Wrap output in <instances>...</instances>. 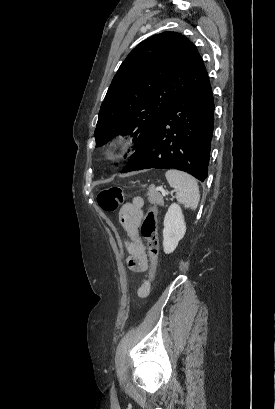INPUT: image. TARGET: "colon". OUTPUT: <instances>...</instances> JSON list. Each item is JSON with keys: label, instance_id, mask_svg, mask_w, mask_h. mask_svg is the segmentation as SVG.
Listing matches in <instances>:
<instances>
[{"label": "colon", "instance_id": "1", "mask_svg": "<svg viewBox=\"0 0 275 409\" xmlns=\"http://www.w3.org/2000/svg\"><path fill=\"white\" fill-rule=\"evenodd\" d=\"M125 200L123 191L118 187H111L103 189L98 193L97 202L99 206L104 210L105 216H112L114 211L121 208ZM158 224V208L156 205H152L140 226V234L142 238L147 242V253L150 261L149 270L147 273V287L143 293L144 298H148L152 285L154 283L155 272L158 264L159 253V238L157 234Z\"/></svg>", "mask_w": 275, "mask_h": 409}]
</instances>
